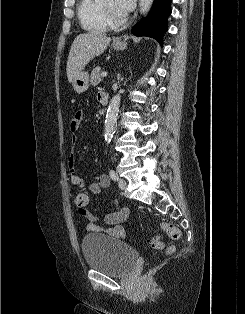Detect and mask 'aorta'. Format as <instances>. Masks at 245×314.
Instances as JSON below:
<instances>
[{"label": "aorta", "instance_id": "obj_1", "mask_svg": "<svg viewBox=\"0 0 245 314\" xmlns=\"http://www.w3.org/2000/svg\"><path fill=\"white\" fill-rule=\"evenodd\" d=\"M153 0H139L140 13L146 15L152 6ZM121 96L120 94L115 95L109 104L106 120L104 137L108 143L111 141L116 128V120L119 112Z\"/></svg>", "mask_w": 245, "mask_h": 314}]
</instances>
